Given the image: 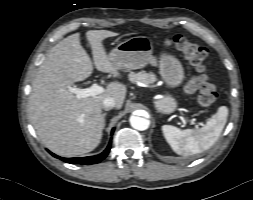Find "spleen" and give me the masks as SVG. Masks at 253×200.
I'll return each mask as SVG.
<instances>
[{"instance_id":"1","label":"spleen","mask_w":253,"mask_h":200,"mask_svg":"<svg viewBox=\"0 0 253 200\" xmlns=\"http://www.w3.org/2000/svg\"><path fill=\"white\" fill-rule=\"evenodd\" d=\"M228 108L219 107L216 114L209 118L199 129L181 130L175 126L163 125L165 139L179 155H193L203 152L213 146L221 135L227 122Z\"/></svg>"}]
</instances>
